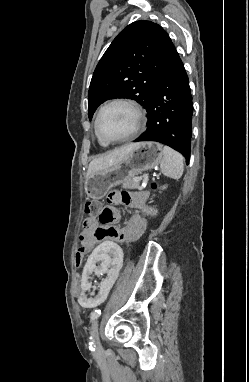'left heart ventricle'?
<instances>
[{
    "instance_id": "left-heart-ventricle-1",
    "label": "left heart ventricle",
    "mask_w": 249,
    "mask_h": 382,
    "mask_svg": "<svg viewBox=\"0 0 249 382\" xmlns=\"http://www.w3.org/2000/svg\"><path fill=\"white\" fill-rule=\"evenodd\" d=\"M134 114L124 105H113L107 108L99 121L100 132L107 139L128 135L134 127Z\"/></svg>"
}]
</instances>
